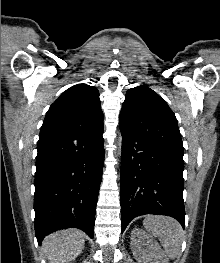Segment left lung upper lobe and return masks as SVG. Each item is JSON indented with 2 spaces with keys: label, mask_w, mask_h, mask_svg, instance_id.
Returning a JSON list of instances; mask_svg holds the SVG:
<instances>
[{
  "label": "left lung upper lobe",
  "mask_w": 220,
  "mask_h": 263,
  "mask_svg": "<svg viewBox=\"0 0 220 263\" xmlns=\"http://www.w3.org/2000/svg\"><path fill=\"white\" fill-rule=\"evenodd\" d=\"M119 124L125 130L183 155L184 148L175 114L156 92L146 86L127 91Z\"/></svg>",
  "instance_id": "1"
}]
</instances>
